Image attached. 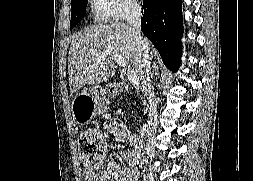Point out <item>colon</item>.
Instances as JSON below:
<instances>
[{
  "instance_id": "obj_1",
  "label": "colon",
  "mask_w": 253,
  "mask_h": 181,
  "mask_svg": "<svg viewBox=\"0 0 253 181\" xmlns=\"http://www.w3.org/2000/svg\"><path fill=\"white\" fill-rule=\"evenodd\" d=\"M78 146L83 167L88 171L99 168L106 153L102 135L95 130L85 131L79 138Z\"/></svg>"
}]
</instances>
